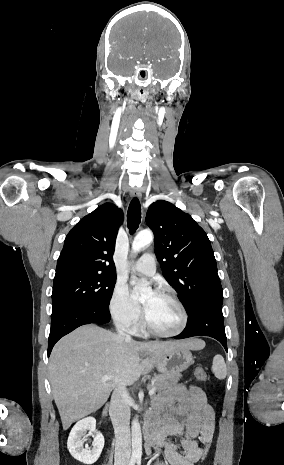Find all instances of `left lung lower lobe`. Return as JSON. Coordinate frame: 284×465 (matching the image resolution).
<instances>
[{"label":"left lung lower lobe","instance_id":"0a47b994","mask_svg":"<svg viewBox=\"0 0 284 465\" xmlns=\"http://www.w3.org/2000/svg\"><path fill=\"white\" fill-rule=\"evenodd\" d=\"M186 328L174 337L183 339L193 336H209L218 340L227 351V339L224 329L222 304L205 303L188 312Z\"/></svg>","mask_w":284,"mask_h":465}]
</instances>
